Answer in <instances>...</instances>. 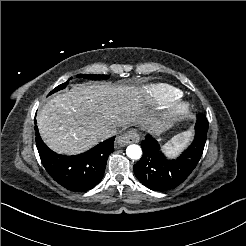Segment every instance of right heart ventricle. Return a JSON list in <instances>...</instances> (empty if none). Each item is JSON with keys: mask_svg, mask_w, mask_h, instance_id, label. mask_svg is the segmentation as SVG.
<instances>
[{"mask_svg": "<svg viewBox=\"0 0 246 246\" xmlns=\"http://www.w3.org/2000/svg\"><path fill=\"white\" fill-rule=\"evenodd\" d=\"M147 103L156 109H162L179 98V92L165 84H152L145 90Z\"/></svg>", "mask_w": 246, "mask_h": 246, "instance_id": "right-heart-ventricle-1", "label": "right heart ventricle"}]
</instances>
